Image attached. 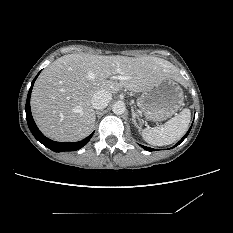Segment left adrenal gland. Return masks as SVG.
I'll use <instances>...</instances> for the list:
<instances>
[{"label": "left adrenal gland", "instance_id": "left-adrenal-gland-1", "mask_svg": "<svg viewBox=\"0 0 233 233\" xmlns=\"http://www.w3.org/2000/svg\"><path fill=\"white\" fill-rule=\"evenodd\" d=\"M132 112V124H134L137 128H139L136 119L139 120V116L135 113L134 109H131Z\"/></svg>", "mask_w": 233, "mask_h": 233}]
</instances>
